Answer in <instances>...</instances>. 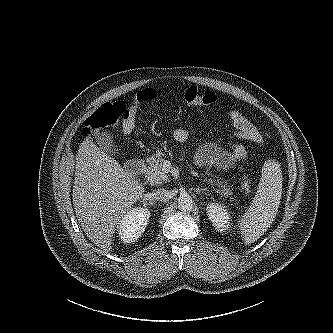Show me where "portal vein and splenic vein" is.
Returning a JSON list of instances; mask_svg holds the SVG:
<instances>
[{
    "mask_svg": "<svg viewBox=\"0 0 333 333\" xmlns=\"http://www.w3.org/2000/svg\"><path fill=\"white\" fill-rule=\"evenodd\" d=\"M170 163L169 162H164V164H163V170L165 171V172H167L168 170H170Z\"/></svg>",
    "mask_w": 333,
    "mask_h": 333,
    "instance_id": "18ae733b",
    "label": "portal vein and splenic vein"
}]
</instances>
